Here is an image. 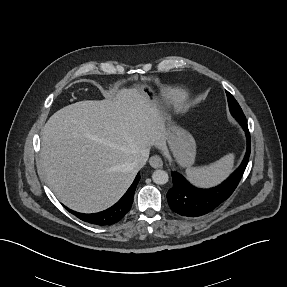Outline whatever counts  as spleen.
Returning a JSON list of instances; mask_svg holds the SVG:
<instances>
[{
    "mask_svg": "<svg viewBox=\"0 0 287 287\" xmlns=\"http://www.w3.org/2000/svg\"><path fill=\"white\" fill-rule=\"evenodd\" d=\"M234 154H228L207 166L186 170L188 180L199 187H211L224 181L232 172Z\"/></svg>",
    "mask_w": 287,
    "mask_h": 287,
    "instance_id": "obj_1",
    "label": "spleen"
}]
</instances>
